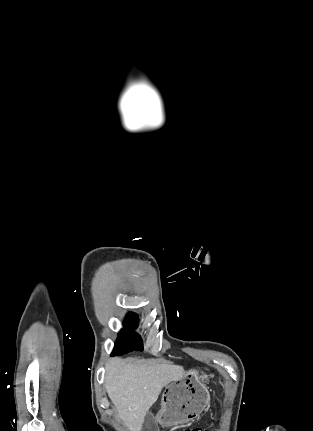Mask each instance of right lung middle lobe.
<instances>
[{
    "mask_svg": "<svg viewBox=\"0 0 313 431\" xmlns=\"http://www.w3.org/2000/svg\"><path fill=\"white\" fill-rule=\"evenodd\" d=\"M138 323V316L135 313L128 314L124 321V329L118 334V339L112 355H123L131 351H142L143 342L139 334L133 332Z\"/></svg>",
    "mask_w": 313,
    "mask_h": 431,
    "instance_id": "obj_1",
    "label": "right lung middle lobe"
}]
</instances>
